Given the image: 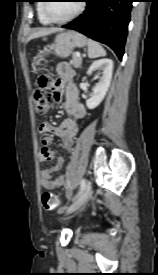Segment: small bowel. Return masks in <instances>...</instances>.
Instances as JSON below:
<instances>
[{
    "label": "small bowel",
    "mask_w": 158,
    "mask_h": 275,
    "mask_svg": "<svg viewBox=\"0 0 158 275\" xmlns=\"http://www.w3.org/2000/svg\"><path fill=\"white\" fill-rule=\"evenodd\" d=\"M58 78L52 80L49 76H43L50 80L49 88L53 87L56 101L60 100V90L65 88L64 107L69 118L64 119L58 127H53L50 123L44 122L40 125L39 131L43 136L42 148L40 151V162H49L55 158V152L48 147L51 142V134L57 135L64 149L70 151L73 148L74 140L79 132L78 121L83 119L86 112L83 104L79 100L78 89L73 83L74 71L67 63H59L56 68ZM64 164V158L58 157L56 164L40 172L41 186L52 190L63 186L65 178L63 175L54 177L53 174L59 171Z\"/></svg>",
    "instance_id": "1"
}]
</instances>
